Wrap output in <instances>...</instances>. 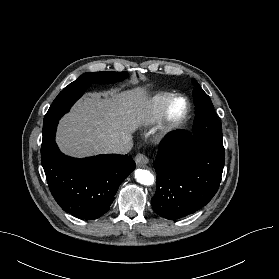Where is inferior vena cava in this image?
I'll return each instance as SVG.
<instances>
[{
	"mask_svg": "<svg viewBox=\"0 0 279 279\" xmlns=\"http://www.w3.org/2000/svg\"><path fill=\"white\" fill-rule=\"evenodd\" d=\"M133 146L131 139H126L121 142L110 144L106 147V153L127 154Z\"/></svg>",
	"mask_w": 279,
	"mask_h": 279,
	"instance_id": "602c4592",
	"label": "inferior vena cava"
}]
</instances>
